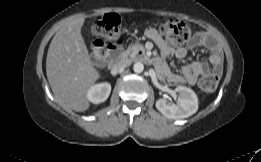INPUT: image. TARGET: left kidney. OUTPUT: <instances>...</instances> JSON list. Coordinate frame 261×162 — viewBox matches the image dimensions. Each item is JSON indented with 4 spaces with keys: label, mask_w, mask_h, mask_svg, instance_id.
<instances>
[{
    "label": "left kidney",
    "mask_w": 261,
    "mask_h": 162,
    "mask_svg": "<svg viewBox=\"0 0 261 162\" xmlns=\"http://www.w3.org/2000/svg\"><path fill=\"white\" fill-rule=\"evenodd\" d=\"M175 92L179 94L177 104H170L166 99H158L156 108L167 118H187L198 110V97L195 92L186 86H177Z\"/></svg>",
    "instance_id": "left-kidney-1"
}]
</instances>
